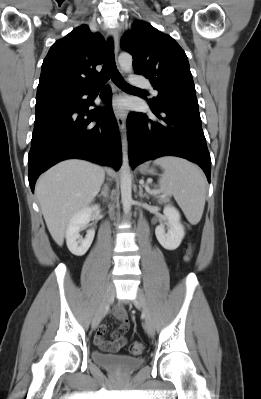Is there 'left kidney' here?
Here are the masks:
<instances>
[{"label": "left kidney", "mask_w": 261, "mask_h": 399, "mask_svg": "<svg viewBox=\"0 0 261 399\" xmlns=\"http://www.w3.org/2000/svg\"><path fill=\"white\" fill-rule=\"evenodd\" d=\"M163 213L167 219V223L158 225L155 229V235L162 247L167 250H175L179 247L185 236L184 227L180 222V213L172 206H166ZM165 225L168 229L167 232Z\"/></svg>", "instance_id": "obj_1"}]
</instances>
